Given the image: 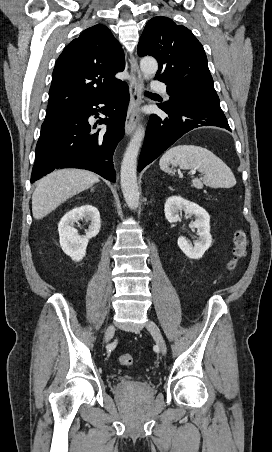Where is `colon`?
<instances>
[{
    "instance_id": "1",
    "label": "colon",
    "mask_w": 272,
    "mask_h": 452,
    "mask_svg": "<svg viewBox=\"0 0 272 452\" xmlns=\"http://www.w3.org/2000/svg\"><path fill=\"white\" fill-rule=\"evenodd\" d=\"M248 240L246 234L242 230H238L234 235V248L231 260L228 263L229 270H235L238 263L246 255ZM120 364L124 366H132L134 359L131 354H121L118 358Z\"/></svg>"
}]
</instances>
